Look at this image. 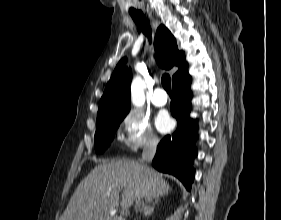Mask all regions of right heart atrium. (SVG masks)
Returning a JSON list of instances; mask_svg holds the SVG:
<instances>
[{
    "label": "right heart atrium",
    "mask_w": 281,
    "mask_h": 220,
    "mask_svg": "<svg viewBox=\"0 0 281 220\" xmlns=\"http://www.w3.org/2000/svg\"><path fill=\"white\" fill-rule=\"evenodd\" d=\"M121 140L131 150L151 148L159 143L149 118L138 110H131L125 115Z\"/></svg>",
    "instance_id": "right-heart-atrium-1"
}]
</instances>
